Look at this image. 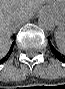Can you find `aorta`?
<instances>
[{
    "mask_svg": "<svg viewBox=\"0 0 65 89\" xmlns=\"http://www.w3.org/2000/svg\"><path fill=\"white\" fill-rule=\"evenodd\" d=\"M38 24L43 30H52L55 26V19L51 13L42 11L38 16Z\"/></svg>",
    "mask_w": 65,
    "mask_h": 89,
    "instance_id": "762f6f07",
    "label": "aorta"
}]
</instances>
